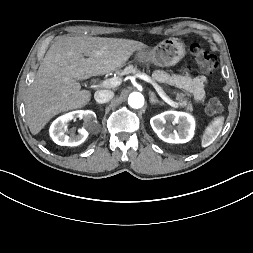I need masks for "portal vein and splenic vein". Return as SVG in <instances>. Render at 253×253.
<instances>
[{
    "instance_id": "1",
    "label": "portal vein and splenic vein",
    "mask_w": 253,
    "mask_h": 253,
    "mask_svg": "<svg viewBox=\"0 0 253 253\" xmlns=\"http://www.w3.org/2000/svg\"><path fill=\"white\" fill-rule=\"evenodd\" d=\"M136 77L150 83L155 90L157 91V93L159 94V96L170 106L175 107L176 103L174 101H172L169 97L166 96V94L164 93L163 89L154 81L152 80V78L150 76H148L145 73H137ZM122 82L121 78L119 77H113L110 79H107L105 81L102 82V86L106 87V88H114L117 87L118 85H120Z\"/></svg>"
}]
</instances>
